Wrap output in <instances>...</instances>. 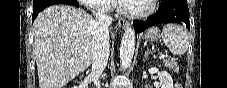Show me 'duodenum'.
Masks as SVG:
<instances>
[{
    "label": "duodenum",
    "mask_w": 227,
    "mask_h": 88,
    "mask_svg": "<svg viewBox=\"0 0 227 88\" xmlns=\"http://www.w3.org/2000/svg\"><path fill=\"white\" fill-rule=\"evenodd\" d=\"M87 87V83L85 81V79H81L80 80V88H86Z\"/></svg>",
    "instance_id": "obj_1"
}]
</instances>
